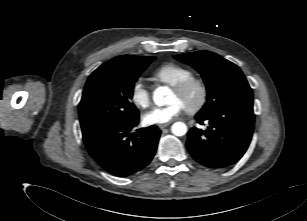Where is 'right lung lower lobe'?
Masks as SVG:
<instances>
[{
    "label": "right lung lower lobe",
    "mask_w": 307,
    "mask_h": 221,
    "mask_svg": "<svg viewBox=\"0 0 307 221\" xmlns=\"http://www.w3.org/2000/svg\"><path fill=\"white\" fill-rule=\"evenodd\" d=\"M138 122L139 117L84 139L89 154L108 173L128 177L144 169L152 160L161 132L156 126H150L130 135Z\"/></svg>",
    "instance_id": "right-lung-lower-lobe-1"
}]
</instances>
